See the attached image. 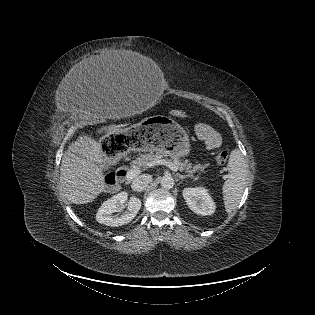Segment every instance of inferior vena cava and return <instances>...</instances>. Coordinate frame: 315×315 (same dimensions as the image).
Masks as SVG:
<instances>
[{
	"label": "inferior vena cava",
	"mask_w": 315,
	"mask_h": 315,
	"mask_svg": "<svg viewBox=\"0 0 315 315\" xmlns=\"http://www.w3.org/2000/svg\"><path fill=\"white\" fill-rule=\"evenodd\" d=\"M152 181V177L147 174H143L135 178L131 184V188L135 192L143 191Z\"/></svg>",
	"instance_id": "inferior-vena-cava-1"
}]
</instances>
